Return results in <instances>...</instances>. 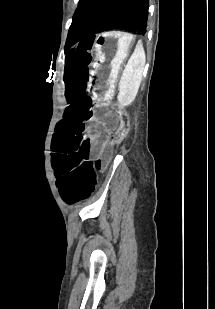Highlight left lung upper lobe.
Returning a JSON list of instances; mask_svg holds the SVG:
<instances>
[{
	"instance_id": "obj_1",
	"label": "left lung upper lobe",
	"mask_w": 215,
	"mask_h": 309,
	"mask_svg": "<svg viewBox=\"0 0 215 309\" xmlns=\"http://www.w3.org/2000/svg\"><path fill=\"white\" fill-rule=\"evenodd\" d=\"M149 0H80L68 32L70 48L93 34L112 29L147 31Z\"/></svg>"
}]
</instances>
